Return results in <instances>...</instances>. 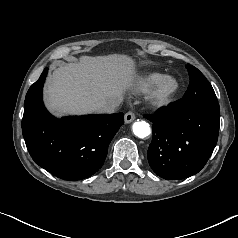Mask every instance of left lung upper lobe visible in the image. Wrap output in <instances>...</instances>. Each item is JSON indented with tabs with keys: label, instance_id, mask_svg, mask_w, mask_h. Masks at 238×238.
<instances>
[{
	"label": "left lung upper lobe",
	"instance_id": "5c2ea615",
	"mask_svg": "<svg viewBox=\"0 0 238 238\" xmlns=\"http://www.w3.org/2000/svg\"><path fill=\"white\" fill-rule=\"evenodd\" d=\"M187 69L190 83L183 98L177 101L180 110L184 111L204 103H217L215 92L204 75L189 64Z\"/></svg>",
	"mask_w": 238,
	"mask_h": 238
}]
</instances>
